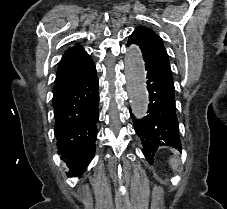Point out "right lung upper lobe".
Wrapping results in <instances>:
<instances>
[{"instance_id":"right-lung-upper-lobe-1","label":"right lung upper lobe","mask_w":227,"mask_h":209,"mask_svg":"<svg viewBox=\"0 0 227 209\" xmlns=\"http://www.w3.org/2000/svg\"><path fill=\"white\" fill-rule=\"evenodd\" d=\"M92 63L91 57L86 53V51L76 44L74 47H70L63 55L58 68H64L67 65L71 66H86ZM77 77L62 80L54 84L53 95H58L64 92L69 86H71Z\"/></svg>"}]
</instances>
